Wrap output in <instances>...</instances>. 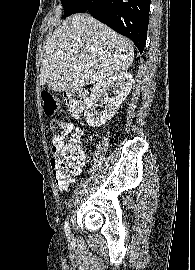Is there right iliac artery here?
<instances>
[{
  "label": "right iliac artery",
  "mask_w": 195,
  "mask_h": 270,
  "mask_svg": "<svg viewBox=\"0 0 195 270\" xmlns=\"http://www.w3.org/2000/svg\"><path fill=\"white\" fill-rule=\"evenodd\" d=\"M65 233L68 239H70L71 235H70V227H69V222H68V218L65 221Z\"/></svg>",
  "instance_id": "82829eb1"
}]
</instances>
